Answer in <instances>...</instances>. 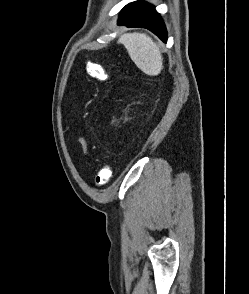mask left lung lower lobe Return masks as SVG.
Here are the masks:
<instances>
[{
  "instance_id": "left-lung-lower-lobe-1",
  "label": "left lung lower lobe",
  "mask_w": 249,
  "mask_h": 294,
  "mask_svg": "<svg viewBox=\"0 0 249 294\" xmlns=\"http://www.w3.org/2000/svg\"><path fill=\"white\" fill-rule=\"evenodd\" d=\"M118 25L144 27L155 33L162 41H167V32L154 6L141 0L126 5L120 12Z\"/></svg>"
}]
</instances>
